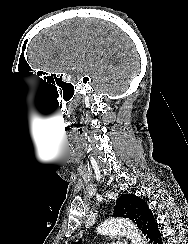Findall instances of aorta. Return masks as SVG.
<instances>
[{"instance_id": "obj_1", "label": "aorta", "mask_w": 188, "mask_h": 244, "mask_svg": "<svg viewBox=\"0 0 188 244\" xmlns=\"http://www.w3.org/2000/svg\"><path fill=\"white\" fill-rule=\"evenodd\" d=\"M97 231L103 235H126L132 244H145L137 227L124 218H109L98 227Z\"/></svg>"}]
</instances>
